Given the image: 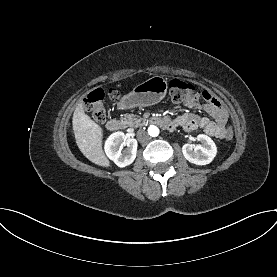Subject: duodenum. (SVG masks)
<instances>
[{
    "instance_id": "1",
    "label": "duodenum",
    "mask_w": 277,
    "mask_h": 277,
    "mask_svg": "<svg viewBox=\"0 0 277 277\" xmlns=\"http://www.w3.org/2000/svg\"><path fill=\"white\" fill-rule=\"evenodd\" d=\"M156 122L168 129H173L174 128V124L167 118H160V119H156ZM107 129L110 131H117L120 130L123 127V122L117 118H111L108 122H107Z\"/></svg>"
}]
</instances>
